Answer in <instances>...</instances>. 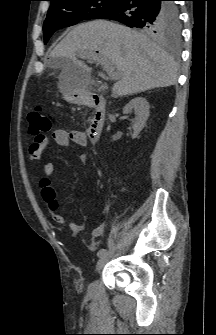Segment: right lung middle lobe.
Masks as SVG:
<instances>
[{
  "label": "right lung middle lobe",
  "mask_w": 216,
  "mask_h": 335,
  "mask_svg": "<svg viewBox=\"0 0 216 335\" xmlns=\"http://www.w3.org/2000/svg\"><path fill=\"white\" fill-rule=\"evenodd\" d=\"M118 1L53 0L43 26L45 44L56 30L75 25L82 20L100 18L110 11ZM169 19V16L166 17L162 29L157 32L145 31L151 35L178 37L180 22L173 23Z\"/></svg>",
  "instance_id": "obj_1"
}]
</instances>
